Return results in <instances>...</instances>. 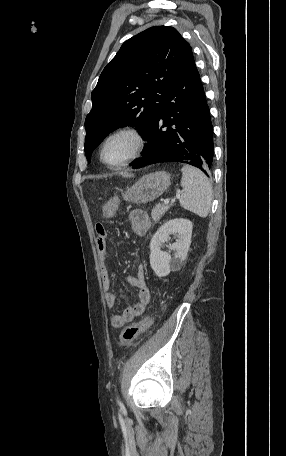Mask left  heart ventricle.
Listing matches in <instances>:
<instances>
[{"label": "left heart ventricle", "instance_id": "obj_1", "mask_svg": "<svg viewBox=\"0 0 286 456\" xmlns=\"http://www.w3.org/2000/svg\"><path fill=\"white\" fill-rule=\"evenodd\" d=\"M137 147L136 139L127 133L111 138L104 150V159L110 164H119L131 157Z\"/></svg>", "mask_w": 286, "mask_h": 456}]
</instances>
